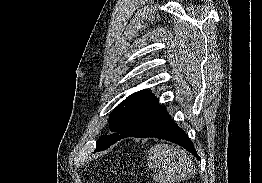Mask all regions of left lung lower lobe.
Returning a JSON list of instances; mask_svg holds the SVG:
<instances>
[{
    "label": "left lung lower lobe",
    "instance_id": "1",
    "mask_svg": "<svg viewBox=\"0 0 262 183\" xmlns=\"http://www.w3.org/2000/svg\"><path fill=\"white\" fill-rule=\"evenodd\" d=\"M128 137L165 139L182 146L200 159L189 137L184 130L178 127L171 119V116L163 106H160L137 132Z\"/></svg>",
    "mask_w": 262,
    "mask_h": 183
}]
</instances>
